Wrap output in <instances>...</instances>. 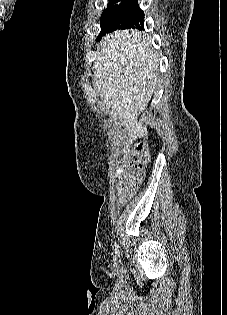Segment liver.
I'll return each mask as SVG.
<instances>
[{
  "mask_svg": "<svg viewBox=\"0 0 227 315\" xmlns=\"http://www.w3.org/2000/svg\"><path fill=\"white\" fill-rule=\"evenodd\" d=\"M94 86L128 137L148 135L137 115L146 110L159 77V57L138 30H117L102 38L95 54Z\"/></svg>",
  "mask_w": 227,
  "mask_h": 315,
  "instance_id": "1",
  "label": "liver"
}]
</instances>
